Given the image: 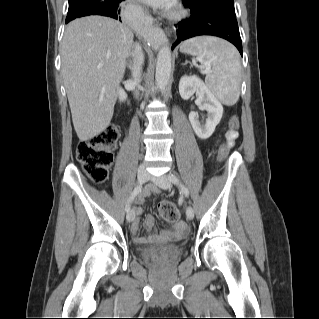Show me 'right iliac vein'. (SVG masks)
<instances>
[{"instance_id": "1", "label": "right iliac vein", "mask_w": 319, "mask_h": 319, "mask_svg": "<svg viewBox=\"0 0 319 319\" xmlns=\"http://www.w3.org/2000/svg\"><path fill=\"white\" fill-rule=\"evenodd\" d=\"M137 178H138V182H139L140 184H143V183H145V182L148 180V173H147L146 170H144V169H139V170H138V173H137ZM134 217H135L134 211H133V210H130V211L127 213V220H128V222L133 221Z\"/></svg>"}]
</instances>
